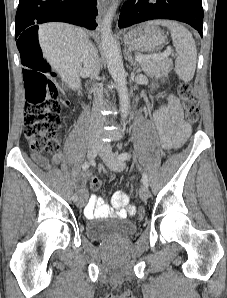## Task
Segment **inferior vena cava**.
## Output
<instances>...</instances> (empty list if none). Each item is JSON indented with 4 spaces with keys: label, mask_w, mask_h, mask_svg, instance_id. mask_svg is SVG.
<instances>
[{
    "label": "inferior vena cava",
    "mask_w": 227,
    "mask_h": 298,
    "mask_svg": "<svg viewBox=\"0 0 227 298\" xmlns=\"http://www.w3.org/2000/svg\"><path fill=\"white\" fill-rule=\"evenodd\" d=\"M84 72L94 79L100 72L98 51L92 43H88L83 54ZM94 103L92 108L90 137L100 141L103 133L105 118L100 114L104 104L103 90L93 87Z\"/></svg>",
    "instance_id": "inferior-vena-cava-1"
}]
</instances>
